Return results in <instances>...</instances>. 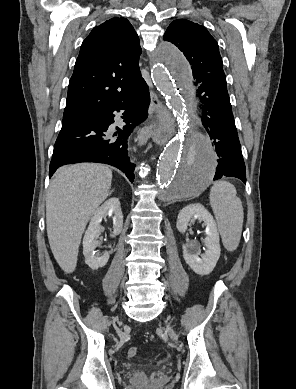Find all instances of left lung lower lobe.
<instances>
[{"instance_id": "obj_1", "label": "left lung lower lobe", "mask_w": 296, "mask_h": 389, "mask_svg": "<svg viewBox=\"0 0 296 389\" xmlns=\"http://www.w3.org/2000/svg\"><path fill=\"white\" fill-rule=\"evenodd\" d=\"M190 100L194 116L214 140L218 166L214 180L236 177L246 183L245 164L226 86V77H201L194 83Z\"/></svg>"}]
</instances>
